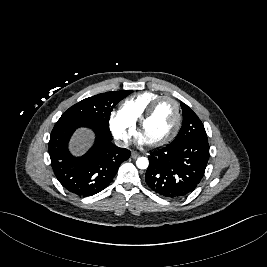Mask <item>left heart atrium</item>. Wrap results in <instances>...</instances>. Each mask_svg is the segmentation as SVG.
I'll return each instance as SVG.
<instances>
[{"label":"left heart atrium","mask_w":267,"mask_h":267,"mask_svg":"<svg viewBox=\"0 0 267 267\" xmlns=\"http://www.w3.org/2000/svg\"><path fill=\"white\" fill-rule=\"evenodd\" d=\"M139 142L142 144L148 143L145 139H143L141 136L139 138Z\"/></svg>","instance_id":"left-heart-atrium-1"}]
</instances>
